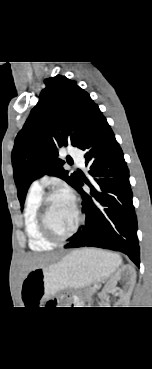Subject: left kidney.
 Here are the masks:
<instances>
[{
	"label": "left kidney",
	"mask_w": 152,
	"mask_h": 369,
	"mask_svg": "<svg viewBox=\"0 0 152 369\" xmlns=\"http://www.w3.org/2000/svg\"><path fill=\"white\" fill-rule=\"evenodd\" d=\"M125 276L127 282L124 286V290L120 292V296L124 299L128 298L133 290L136 282V271L132 266H124L107 282L105 290L102 292L103 299H106V292H115V283Z\"/></svg>",
	"instance_id": "5707ae66"
}]
</instances>
